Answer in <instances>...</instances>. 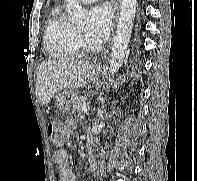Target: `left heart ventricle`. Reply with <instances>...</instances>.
<instances>
[{"mask_svg":"<svg viewBox=\"0 0 197 181\" xmlns=\"http://www.w3.org/2000/svg\"><path fill=\"white\" fill-rule=\"evenodd\" d=\"M77 31H78L81 35H83V36H85V37L87 38V36H86V27L77 28ZM87 39H88V38H87Z\"/></svg>","mask_w":197,"mask_h":181,"instance_id":"obj_1","label":"left heart ventricle"}]
</instances>
